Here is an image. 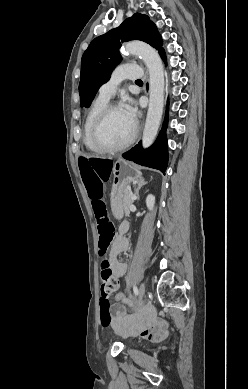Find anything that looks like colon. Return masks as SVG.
<instances>
[{
    "mask_svg": "<svg viewBox=\"0 0 248 389\" xmlns=\"http://www.w3.org/2000/svg\"><path fill=\"white\" fill-rule=\"evenodd\" d=\"M79 166L82 170V179L94 214L97 218L99 232V255L104 256L114 238V225L107 216L105 199L103 196L104 182L109 181L112 171L111 157H79ZM101 298H100V324L108 328L112 324L110 295L117 290L119 282L115 277L111 264L104 260L101 264ZM114 304L126 301L129 296L124 291H115Z\"/></svg>",
    "mask_w": 248,
    "mask_h": 389,
    "instance_id": "obj_1",
    "label": "colon"
}]
</instances>
